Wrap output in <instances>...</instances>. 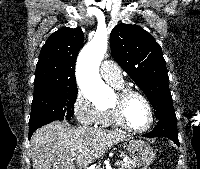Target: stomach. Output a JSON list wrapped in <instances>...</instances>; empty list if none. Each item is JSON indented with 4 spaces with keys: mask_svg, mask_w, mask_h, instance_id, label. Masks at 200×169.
<instances>
[{
    "mask_svg": "<svg viewBox=\"0 0 200 169\" xmlns=\"http://www.w3.org/2000/svg\"><path fill=\"white\" fill-rule=\"evenodd\" d=\"M131 160L137 166H147L155 159L154 150L142 140H129L126 143Z\"/></svg>",
    "mask_w": 200,
    "mask_h": 169,
    "instance_id": "0dacf381",
    "label": "stomach"
}]
</instances>
